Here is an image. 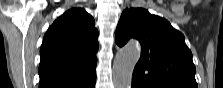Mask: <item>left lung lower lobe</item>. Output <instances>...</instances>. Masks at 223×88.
Segmentation results:
<instances>
[{
	"label": "left lung lower lobe",
	"mask_w": 223,
	"mask_h": 88,
	"mask_svg": "<svg viewBox=\"0 0 223 88\" xmlns=\"http://www.w3.org/2000/svg\"><path fill=\"white\" fill-rule=\"evenodd\" d=\"M132 88H140L139 85L132 80Z\"/></svg>",
	"instance_id": "obj_1"
}]
</instances>
